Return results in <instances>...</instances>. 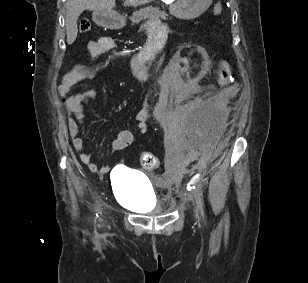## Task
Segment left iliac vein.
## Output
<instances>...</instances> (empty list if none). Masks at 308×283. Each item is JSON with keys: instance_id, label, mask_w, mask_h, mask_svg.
<instances>
[{"instance_id": "left-iliac-vein-1", "label": "left iliac vein", "mask_w": 308, "mask_h": 283, "mask_svg": "<svg viewBox=\"0 0 308 283\" xmlns=\"http://www.w3.org/2000/svg\"><path fill=\"white\" fill-rule=\"evenodd\" d=\"M188 198H189V200H191L193 202L194 209H195V215L198 218L200 213H199V210H198V206H197V202L195 200V197H194V195L192 193H189L188 194Z\"/></svg>"}]
</instances>
